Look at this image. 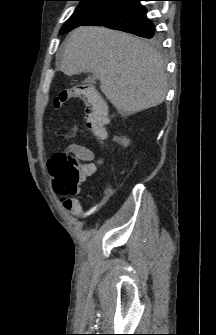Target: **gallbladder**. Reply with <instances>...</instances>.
<instances>
[{"label": "gallbladder", "instance_id": "1", "mask_svg": "<svg viewBox=\"0 0 216 335\" xmlns=\"http://www.w3.org/2000/svg\"><path fill=\"white\" fill-rule=\"evenodd\" d=\"M88 78H94V79H96L97 77L93 74L91 77H88Z\"/></svg>", "mask_w": 216, "mask_h": 335}]
</instances>
